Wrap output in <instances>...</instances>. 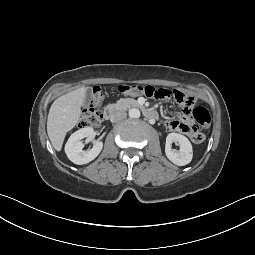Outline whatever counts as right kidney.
<instances>
[{
  "label": "right kidney",
  "instance_id": "1",
  "mask_svg": "<svg viewBox=\"0 0 255 255\" xmlns=\"http://www.w3.org/2000/svg\"><path fill=\"white\" fill-rule=\"evenodd\" d=\"M94 130L91 127L82 128L74 132L68 139L65 145V153L70 161L77 165L87 164L94 160L103 148V143L97 141L94 143L92 149L89 151H83L84 144L82 143L83 138H92Z\"/></svg>",
  "mask_w": 255,
  "mask_h": 255
}]
</instances>
